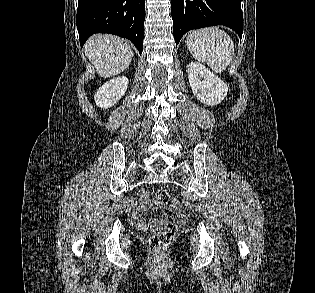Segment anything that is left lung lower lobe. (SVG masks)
Instances as JSON below:
<instances>
[{
	"instance_id": "left-lung-lower-lobe-1",
	"label": "left lung lower lobe",
	"mask_w": 315,
	"mask_h": 293,
	"mask_svg": "<svg viewBox=\"0 0 315 293\" xmlns=\"http://www.w3.org/2000/svg\"><path fill=\"white\" fill-rule=\"evenodd\" d=\"M171 12L176 45L189 30L215 25L227 26L242 37L240 0H172Z\"/></svg>"
}]
</instances>
